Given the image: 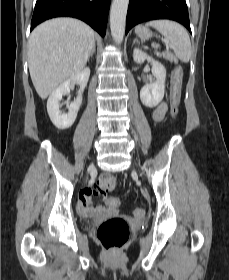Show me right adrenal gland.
I'll use <instances>...</instances> for the list:
<instances>
[{
  "instance_id": "1",
  "label": "right adrenal gland",
  "mask_w": 229,
  "mask_h": 280,
  "mask_svg": "<svg viewBox=\"0 0 229 280\" xmlns=\"http://www.w3.org/2000/svg\"><path fill=\"white\" fill-rule=\"evenodd\" d=\"M94 52H95V43H94L93 48H92V50L90 52V55L88 57V61H89L90 57H93Z\"/></svg>"
}]
</instances>
